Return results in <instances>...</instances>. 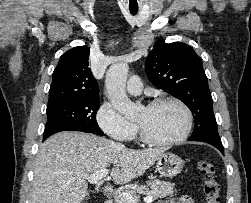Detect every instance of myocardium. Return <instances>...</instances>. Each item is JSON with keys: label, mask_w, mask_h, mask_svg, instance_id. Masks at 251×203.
Masks as SVG:
<instances>
[{"label": "myocardium", "mask_w": 251, "mask_h": 203, "mask_svg": "<svg viewBox=\"0 0 251 203\" xmlns=\"http://www.w3.org/2000/svg\"><path fill=\"white\" fill-rule=\"evenodd\" d=\"M164 103H174L182 109V111L185 114V118H186L185 127H184L183 131L181 132V134H179L175 138L168 139V140H158V139H155V138H152L151 136H149V134L146 132L144 127L141 124L137 123V127H138V130L140 133V138L146 144H149L152 146L176 145V144H179V143L183 142L184 140H186L192 130L193 120H194L192 111L184 101H182L181 99H179L177 97L166 96V97L154 99L147 105V108H152V107L164 104Z\"/></svg>", "instance_id": "obj_1"}]
</instances>
